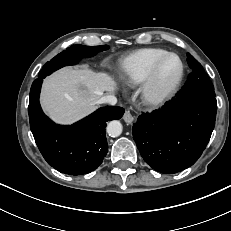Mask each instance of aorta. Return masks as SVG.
Instances as JSON below:
<instances>
[{"label": "aorta", "instance_id": "762f6f07", "mask_svg": "<svg viewBox=\"0 0 231 231\" xmlns=\"http://www.w3.org/2000/svg\"><path fill=\"white\" fill-rule=\"evenodd\" d=\"M122 130L123 126L118 120H113L107 125V133L111 137H118Z\"/></svg>", "mask_w": 231, "mask_h": 231}]
</instances>
